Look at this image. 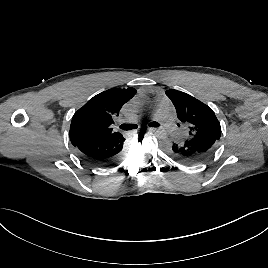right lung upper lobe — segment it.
<instances>
[{
  "mask_svg": "<svg viewBox=\"0 0 268 268\" xmlns=\"http://www.w3.org/2000/svg\"><path fill=\"white\" fill-rule=\"evenodd\" d=\"M135 94L134 88H111L91 98L72 118L69 132L72 144L120 136L111 128L113 118Z\"/></svg>",
  "mask_w": 268,
  "mask_h": 268,
  "instance_id": "cb5924a9",
  "label": "right lung upper lobe"
}]
</instances>
